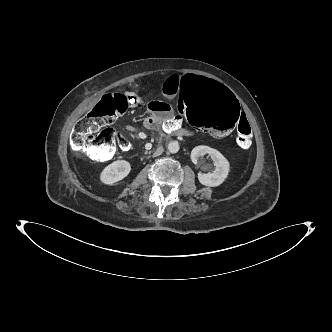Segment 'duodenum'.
Listing matches in <instances>:
<instances>
[{"instance_id": "1", "label": "duodenum", "mask_w": 332, "mask_h": 332, "mask_svg": "<svg viewBox=\"0 0 332 332\" xmlns=\"http://www.w3.org/2000/svg\"><path fill=\"white\" fill-rule=\"evenodd\" d=\"M161 136L163 139H168L171 137H184L186 136V132L180 127L166 126L162 130Z\"/></svg>"}]
</instances>
